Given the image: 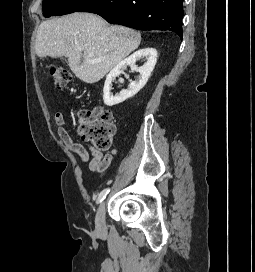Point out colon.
I'll list each match as a JSON object with an SVG mask.
<instances>
[{"instance_id":"1","label":"colon","mask_w":255,"mask_h":272,"mask_svg":"<svg viewBox=\"0 0 255 272\" xmlns=\"http://www.w3.org/2000/svg\"><path fill=\"white\" fill-rule=\"evenodd\" d=\"M51 75L57 90L65 89L73 81L72 74L65 68H53ZM116 124L113 113L101 107L79 113L77 133L98 151H107L112 145Z\"/></svg>"}]
</instances>
